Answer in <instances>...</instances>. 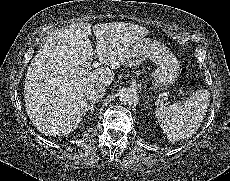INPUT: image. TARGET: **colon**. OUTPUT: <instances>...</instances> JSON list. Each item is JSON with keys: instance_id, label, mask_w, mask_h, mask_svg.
<instances>
[{"instance_id": "obj_1", "label": "colon", "mask_w": 230, "mask_h": 181, "mask_svg": "<svg viewBox=\"0 0 230 181\" xmlns=\"http://www.w3.org/2000/svg\"><path fill=\"white\" fill-rule=\"evenodd\" d=\"M187 70H188L187 67L182 68V72H187Z\"/></svg>"}]
</instances>
